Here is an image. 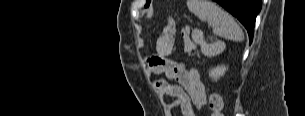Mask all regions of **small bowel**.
I'll return each mask as SVG.
<instances>
[{
  "instance_id": "small-bowel-1",
  "label": "small bowel",
  "mask_w": 305,
  "mask_h": 116,
  "mask_svg": "<svg viewBox=\"0 0 305 116\" xmlns=\"http://www.w3.org/2000/svg\"><path fill=\"white\" fill-rule=\"evenodd\" d=\"M173 50V40L161 38L157 43V53L148 58L149 69L155 74H163L169 80L154 81V87L162 94L173 97L168 104L169 109L180 107L182 116H195L193 108L201 109L206 104V94L200 81L199 73L194 68H186L183 64L168 59Z\"/></svg>"
}]
</instances>
